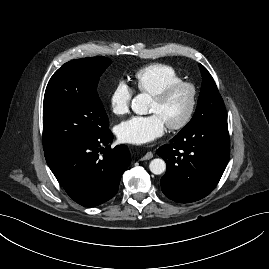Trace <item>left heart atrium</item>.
I'll return each instance as SVG.
<instances>
[{
	"instance_id": "1",
	"label": "left heart atrium",
	"mask_w": 269,
	"mask_h": 269,
	"mask_svg": "<svg viewBox=\"0 0 269 269\" xmlns=\"http://www.w3.org/2000/svg\"><path fill=\"white\" fill-rule=\"evenodd\" d=\"M165 122L156 113L148 116H133L117 126L118 137L133 144L149 143L165 131Z\"/></svg>"
}]
</instances>
